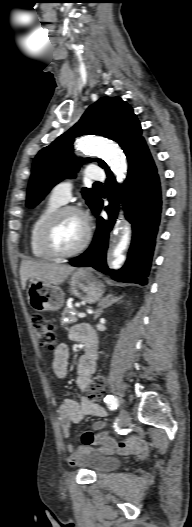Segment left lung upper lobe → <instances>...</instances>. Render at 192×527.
Listing matches in <instances>:
<instances>
[{"mask_svg":"<svg viewBox=\"0 0 192 527\" xmlns=\"http://www.w3.org/2000/svg\"><path fill=\"white\" fill-rule=\"evenodd\" d=\"M140 123L133 109L120 97H103L91 105L77 124L59 136L51 145L43 148L35 157L30 178L26 205L36 206L50 189L66 177L79 170L82 162L93 159H77L71 155L75 137L100 135L119 143L127 158L139 143ZM107 172H111L103 160H97ZM83 197L95 213L100 200L94 189L83 188Z\"/></svg>","mask_w":192,"mask_h":527,"instance_id":"obj_1","label":"left lung upper lobe"}]
</instances>
